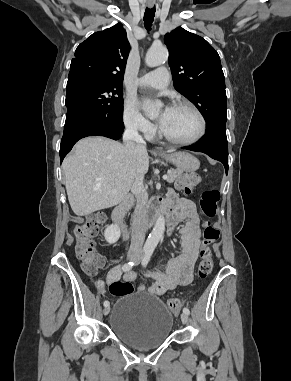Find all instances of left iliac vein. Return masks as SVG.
I'll return each mask as SVG.
<instances>
[{
    "instance_id": "left-iliac-vein-1",
    "label": "left iliac vein",
    "mask_w": 291,
    "mask_h": 381,
    "mask_svg": "<svg viewBox=\"0 0 291 381\" xmlns=\"http://www.w3.org/2000/svg\"><path fill=\"white\" fill-rule=\"evenodd\" d=\"M188 314H186V313H182L181 314V321L184 323V324H186L187 322H188Z\"/></svg>"
}]
</instances>
